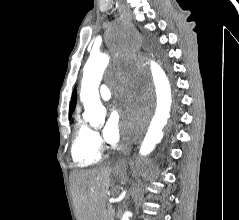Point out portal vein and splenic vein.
I'll list each match as a JSON object with an SVG mask.
<instances>
[{
	"instance_id": "portal-vein-and-splenic-vein-1",
	"label": "portal vein and splenic vein",
	"mask_w": 239,
	"mask_h": 220,
	"mask_svg": "<svg viewBox=\"0 0 239 220\" xmlns=\"http://www.w3.org/2000/svg\"><path fill=\"white\" fill-rule=\"evenodd\" d=\"M112 212H113V213L115 212V208H112Z\"/></svg>"
}]
</instances>
